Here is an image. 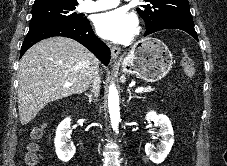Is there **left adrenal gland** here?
Segmentation results:
<instances>
[{
	"instance_id": "1",
	"label": "left adrenal gland",
	"mask_w": 227,
	"mask_h": 166,
	"mask_svg": "<svg viewBox=\"0 0 227 166\" xmlns=\"http://www.w3.org/2000/svg\"><path fill=\"white\" fill-rule=\"evenodd\" d=\"M127 92L129 94V98L127 100V103H129L131 101V99H133V98H140V97H137V96H132V92H131L130 89H127Z\"/></svg>"
}]
</instances>
